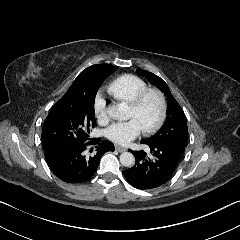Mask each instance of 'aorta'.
<instances>
[{"instance_id":"1","label":"aorta","mask_w":240,"mask_h":240,"mask_svg":"<svg viewBox=\"0 0 240 240\" xmlns=\"http://www.w3.org/2000/svg\"><path fill=\"white\" fill-rule=\"evenodd\" d=\"M107 113L111 118L119 120L121 119L123 111L119 106L113 105L108 107ZM120 163L125 167H132L135 164V157L130 152H123L120 155Z\"/></svg>"}]
</instances>
